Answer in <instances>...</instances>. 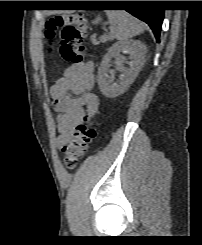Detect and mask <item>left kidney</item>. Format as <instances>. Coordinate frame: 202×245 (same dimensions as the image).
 Listing matches in <instances>:
<instances>
[{"mask_svg": "<svg viewBox=\"0 0 202 245\" xmlns=\"http://www.w3.org/2000/svg\"><path fill=\"white\" fill-rule=\"evenodd\" d=\"M120 52L129 54L130 67L123 66L124 58ZM147 47L139 40L120 41L110 47L98 69L97 81L105 97L115 98L127 90L134 82L145 62ZM116 58V68L121 72L119 80L113 82L108 76L110 61Z\"/></svg>", "mask_w": 202, "mask_h": 245, "instance_id": "obj_1", "label": "left kidney"}]
</instances>
